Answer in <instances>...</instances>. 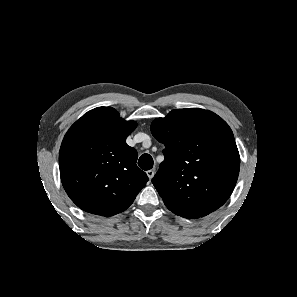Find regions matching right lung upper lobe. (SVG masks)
Returning a JSON list of instances; mask_svg holds the SVG:
<instances>
[{"label": "right lung upper lobe", "mask_w": 297, "mask_h": 297, "mask_svg": "<svg viewBox=\"0 0 297 297\" xmlns=\"http://www.w3.org/2000/svg\"><path fill=\"white\" fill-rule=\"evenodd\" d=\"M136 126L114 108L98 107L70 127L60 147V176L79 208L109 217L126 210L145 187L137 151L125 142Z\"/></svg>", "instance_id": "right-lung-upper-lobe-1"}]
</instances>
